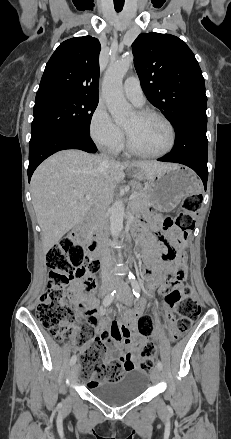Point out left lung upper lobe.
Returning a JSON list of instances; mask_svg holds the SVG:
<instances>
[{
    "label": "left lung upper lobe",
    "mask_w": 231,
    "mask_h": 439,
    "mask_svg": "<svg viewBox=\"0 0 231 439\" xmlns=\"http://www.w3.org/2000/svg\"><path fill=\"white\" fill-rule=\"evenodd\" d=\"M134 65L142 89L176 130L193 116H205L207 97L199 64L176 36L142 33L132 44Z\"/></svg>",
    "instance_id": "obj_1"
}]
</instances>
